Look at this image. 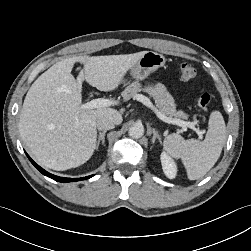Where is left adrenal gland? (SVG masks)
Wrapping results in <instances>:
<instances>
[{"label": "left adrenal gland", "instance_id": "obj_1", "mask_svg": "<svg viewBox=\"0 0 251 251\" xmlns=\"http://www.w3.org/2000/svg\"><path fill=\"white\" fill-rule=\"evenodd\" d=\"M150 132L153 134L152 143H154L156 139H158L159 142H161V137L155 128L150 129Z\"/></svg>", "mask_w": 251, "mask_h": 251}]
</instances>
